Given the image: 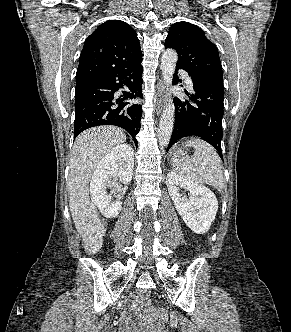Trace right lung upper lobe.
Instances as JSON below:
<instances>
[{
  "instance_id": "cb5924a9",
  "label": "right lung upper lobe",
  "mask_w": 291,
  "mask_h": 332,
  "mask_svg": "<svg viewBox=\"0 0 291 332\" xmlns=\"http://www.w3.org/2000/svg\"><path fill=\"white\" fill-rule=\"evenodd\" d=\"M141 60L140 43L134 29L123 21L109 20L85 40L76 79L126 69Z\"/></svg>"
}]
</instances>
